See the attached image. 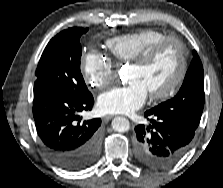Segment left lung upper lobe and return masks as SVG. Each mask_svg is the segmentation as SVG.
Instances as JSON below:
<instances>
[{
  "mask_svg": "<svg viewBox=\"0 0 223 188\" xmlns=\"http://www.w3.org/2000/svg\"><path fill=\"white\" fill-rule=\"evenodd\" d=\"M204 107V72L197 52L175 97L151 109L156 115L196 130Z\"/></svg>",
  "mask_w": 223,
  "mask_h": 188,
  "instance_id": "1",
  "label": "left lung upper lobe"
}]
</instances>
